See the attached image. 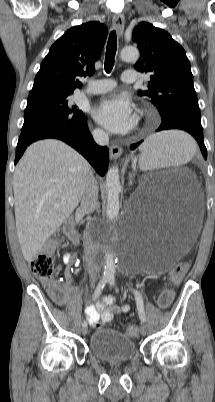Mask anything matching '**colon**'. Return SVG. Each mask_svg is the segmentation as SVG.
Masks as SVG:
<instances>
[{
  "instance_id": "5ec220e1",
  "label": "colon",
  "mask_w": 215,
  "mask_h": 402,
  "mask_svg": "<svg viewBox=\"0 0 215 402\" xmlns=\"http://www.w3.org/2000/svg\"><path fill=\"white\" fill-rule=\"evenodd\" d=\"M58 245L57 239L50 240L43 251L33 258L30 262V269L33 275L43 284L49 287L51 298L58 304L64 301V291L61 285L55 280V270L53 261V251ZM188 268V263H180L172 272L171 278L174 282H179ZM173 301V293L170 290L163 291L158 297V305L166 309ZM125 333L130 337L138 335V327L134 324H128L125 327Z\"/></svg>"
}]
</instances>
